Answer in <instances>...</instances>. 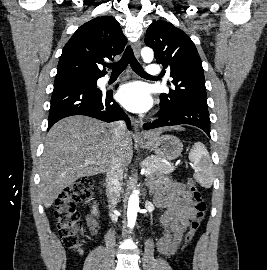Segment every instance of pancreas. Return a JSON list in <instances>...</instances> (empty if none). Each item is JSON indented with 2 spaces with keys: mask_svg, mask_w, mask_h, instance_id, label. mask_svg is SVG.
I'll return each instance as SVG.
<instances>
[{
  "mask_svg": "<svg viewBox=\"0 0 267 270\" xmlns=\"http://www.w3.org/2000/svg\"><path fill=\"white\" fill-rule=\"evenodd\" d=\"M141 167L150 171L149 175L153 174H169L174 171L172 165H168L161 161L157 156H148L145 160L142 161Z\"/></svg>",
  "mask_w": 267,
  "mask_h": 270,
  "instance_id": "cf45deb5",
  "label": "pancreas"
}]
</instances>
